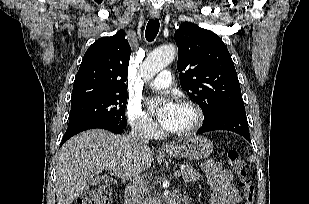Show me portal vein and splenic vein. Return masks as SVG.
<instances>
[{
  "label": "portal vein and splenic vein",
  "mask_w": 309,
  "mask_h": 204,
  "mask_svg": "<svg viewBox=\"0 0 309 204\" xmlns=\"http://www.w3.org/2000/svg\"><path fill=\"white\" fill-rule=\"evenodd\" d=\"M113 174L116 175L117 177H120V178H128V173L122 171L119 168L113 169ZM174 175L175 176H179L180 172L179 171H175Z\"/></svg>",
  "instance_id": "1"
}]
</instances>
